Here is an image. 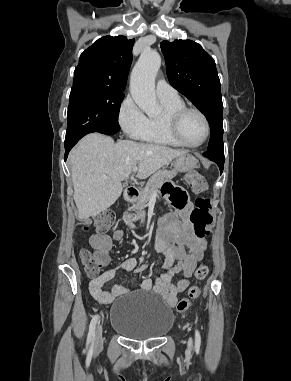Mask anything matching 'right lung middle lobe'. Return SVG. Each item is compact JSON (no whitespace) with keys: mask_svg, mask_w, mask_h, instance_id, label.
<instances>
[{"mask_svg":"<svg viewBox=\"0 0 291 381\" xmlns=\"http://www.w3.org/2000/svg\"><path fill=\"white\" fill-rule=\"evenodd\" d=\"M123 91L102 87H72L65 142L78 141L88 133L118 127Z\"/></svg>","mask_w":291,"mask_h":381,"instance_id":"1","label":"right lung middle lobe"}]
</instances>
